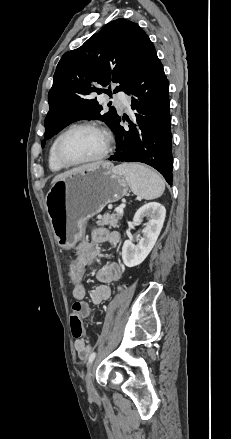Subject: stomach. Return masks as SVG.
Wrapping results in <instances>:
<instances>
[{
	"label": "stomach",
	"mask_w": 231,
	"mask_h": 439,
	"mask_svg": "<svg viewBox=\"0 0 231 439\" xmlns=\"http://www.w3.org/2000/svg\"><path fill=\"white\" fill-rule=\"evenodd\" d=\"M129 189L111 163L71 174L55 182L46 195V209L57 244L71 249L81 239L86 222Z\"/></svg>",
	"instance_id": "1"
}]
</instances>
